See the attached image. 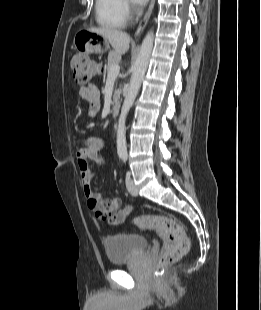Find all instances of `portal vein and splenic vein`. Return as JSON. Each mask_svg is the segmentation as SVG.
Returning a JSON list of instances; mask_svg holds the SVG:
<instances>
[{"instance_id": "obj_1", "label": "portal vein and splenic vein", "mask_w": 261, "mask_h": 310, "mask_svg": "<svg viewBox=\"0 0 261 310\" xmlns=\"http://www.w3.org/2000/svg\"><path fill=\"white\" fill-rule=\"evenodd\" d=\"M120 67L118 64L113 65L108 71V77H117L119 74Z\"/></svg>"}]
</instances>
